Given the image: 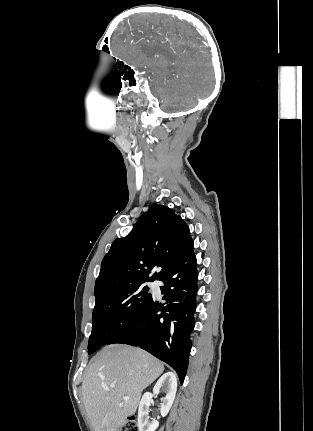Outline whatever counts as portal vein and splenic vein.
Masks as SVG:
<instances>
[{
	"instance_id": "obj_1",
	"label": "portal vein and splenic vein",
	"mask_w": 313,
	"mask_h": 431,
	"mask_svg": "<svg viewBox=\"0 0 313 431\" xmlns=\"http://www.w3.org/2000/svg\"><path fill=\"white\" fill-rule=\"evenodd\" d=\"M105 390L110 391V389L108 387H104ZM125 400H128L129 397H124Z\"/></svg>"
}]
</instances>
